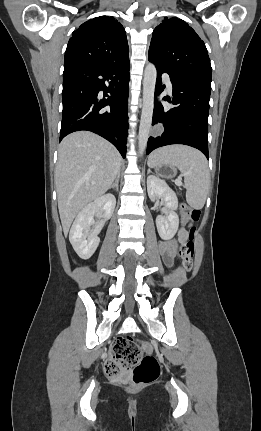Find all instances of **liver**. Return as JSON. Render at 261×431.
<instances>
[{"instance_id": "1", "label": "liver", "mask_w": 261, "mask_h": 431, "mask_svg": "<svg viewBox=\"0 0 261 431\" xmlns=\"http://www.w3.org/2000/svg\"><path fill=\"white\" fill-rule=\"evenodd\" d=\"M120 164L121 155L117 149L92 132H74L62 140L55 184L65 235L76 215L110 188Z\"/></svg>"}]
</instances>
